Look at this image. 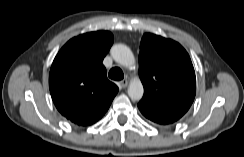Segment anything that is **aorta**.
Listing matches in <instances>:
<instances>
[{
	"instance_id": "762f6f07",
	"label": "aorta",
	"mask_w": 244,
	"mask_h": 157,
	"mask_svg": "<svg viewBox=\"0 0 244 157\" xmlns=\"http://www.w3.org/2000/svg\"><path fill=\"white\" fill-rule=\"evenodd\" d=\"M111 56L115 62L122 66L130 67L134 64L135 59L129 47L123 44L113 45L111 48ZM143 85L138 78L131 80L128 87V95L132 100H140L143 96Z\"/></svg>"
}]
</instances>
